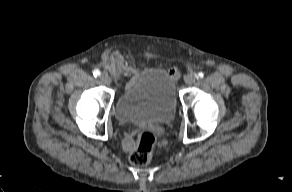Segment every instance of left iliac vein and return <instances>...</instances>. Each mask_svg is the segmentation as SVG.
Returning a JSON list of instances; mask_svg holds the SVG:
<instances>
[{
    "mask_svg": "<svg viewBox=\"0 0 292 192\" xmlns=\"http://www.w3.org/2000/svg\"><path fill=\"white\" fill-rule=\"evenodd\" d=\"M196 78H197L196 74H194V73H192V72H191V73H188V74L185 76V82H186L187 85H192V84L195 83Z\"/></svg>",
    "mask_w": 292,
    "mask_h": 192,
    "instance_id": "1",
    "label": "left iliac vein"
}]
</instances>
